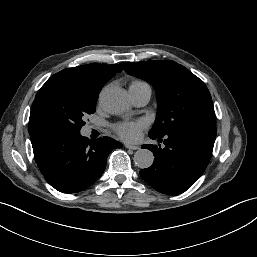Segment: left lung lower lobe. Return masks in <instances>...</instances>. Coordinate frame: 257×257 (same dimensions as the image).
I'll return each mask as SVG.
<instances>
[{"instance_id": "left-lung-lower-lobe-1", "label": "left lung lower lobe", "mask_w": 257, "mask_h": 257, "mask_svg": "<svg viewBox=\"0 0 257 257\" xmlns=\"http://www.w3.org/2000/svg\"><path fill=\"white\" fill-rule=\"evenodd\" d=\"M151 139L165 138L163 149L143 145L153 152L155 159L140 175L155 190L169 195L183 193L205 171L216 138L215 124L187 126L163 136L149 134Z\"/></svg>"}]
</instances>
